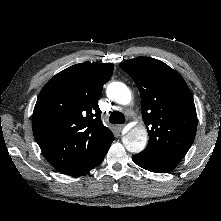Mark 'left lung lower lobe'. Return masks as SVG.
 <instances>
[{"label": "left lung lower lobe", "mask_w": 221, "mask_h": 221, "mask_svg": "<svg viewBox=\"0 0 221 221\" xmlns=\"http://www.w3.org/2000/svg\"><path fill=\"white\" fill-rule=\"evenodd\" d=\"M133 161L140 167L155 173H166L173 170L178 164L139 153L132 156Z\"/></svg>", "instance_id": "0a47b994"}]
</instances>
